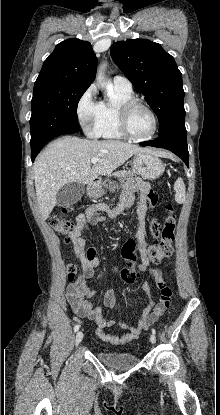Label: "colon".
Masks as SVG:
<instances>
[{"label":"colon","mask_w":220,"mask_h":415,"mask_svg":"<svg viewBox=\"0 0 220 415\" xmlns=\"http://www.w3.org/2000/svg\"><path fill=\"white\" fill-rule=\"evenodd\" d=\"M148 200L154 205L158 200L157 192L150 190L148 192ZM71 207H63L58 213L54 214L50 219L52 229L62 235H70L74 228L73 222L67 218V213ZM167 214L163 223L159 224L156 221L150 223V232L156 237L155 244L146 247V255L148 259L155 265H158L162 260L171 256L173 250V242L176 231V216L171 205L167 206ZM69 242V239H67ZM122 257L127 262V265L121 272V279L126 284L135 282L137 272L134 263L137 259V244L133 239H128L121 250ZM75 267L70 265L68 268V278L70 281L74 279ZM156 287L159 292V300L156 304L155 311L163 314L171 306L172 289L164 282L161 273L155 278Z\"/></svg>","instance_id":"5ec220e1"}]
</instances>
